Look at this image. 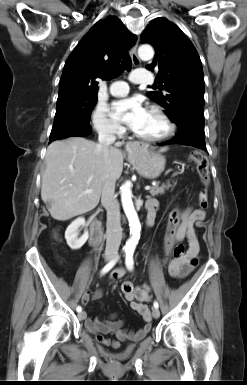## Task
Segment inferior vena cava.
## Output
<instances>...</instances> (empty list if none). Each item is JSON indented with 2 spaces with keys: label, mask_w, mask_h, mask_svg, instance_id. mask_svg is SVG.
Instances as JSON below:
<instances>
[{
  "label": "inferior vena cava",
  "mask_w": 247,
  "mask_h": 385,
  "mask_svg": "<svg viewBox=\"0 0 247 385\" xmlns=\"http://www.w3.org/2000/svg\"><path fill=\"white\" fill-rule=\"evenodd\" d=\"M99 144L108 150L112 145L116 137L114 131L110 127L103 128L99 131L98 136ZM115 192V180L107 179L102 187L101 203L107 211V224H106V248L105 256H117L119 246L122 239V228L120 222V208L119 203L114 195Z\"/></svg>",
  "instance_id": "1"
}]
</instances>
